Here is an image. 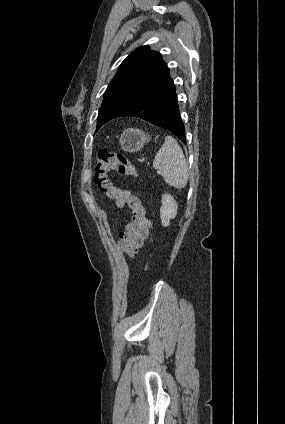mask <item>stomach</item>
Returning a JSON list of instances; mask_svg holds the SVG:
<instances>
[{
	"instance_id": "obj_1",
	"label": "stomach",
	"mask_w": 285,
	"mask_h": 424,
	"mask_svg": "<svg viewBox=\"0 0 285 424\" xmlns=\"http://www.w3.org/2000/svg\"><path fill=\"white\" fill-rule=\"evenodd\" d=\"M151 137L139 129L129 128L125 130L120 139L121 147L128 152H136L142 149L145 143L149 142Z\"/></svg>"
}]
</instances>
